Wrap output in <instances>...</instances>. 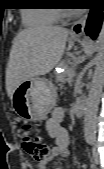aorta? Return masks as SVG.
I'll return each instance as SVG.
<instances>
[{
    "label": "aorta",
    "instance_id": "aorta-1",
    "mask_svg": "<svg viewBox=\"0 0 104 169\" xmlns=\"http://www.w3.org/2000/svg\"><path fill=\"white\" fill-rule=\"evenodd\" d=\"M96 48L98 50L97 57L102 60L103 49H104V39L100 35L98 37ZM102 62V61H101ZM104 88V69L103 65L98 64L95 73L93 75L91 87L89 90L88 98L85 104L84 111V135L85 139L88 141H95L96 139V128H97V113L100 98L103 93Z\"/></svg>",
    "mask_w": 104,
    "mask_h": 169
}]
</instances>
